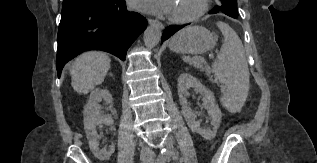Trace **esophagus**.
I'll list each match as a JSON object with an SVG mask.
<instances>
[{
    "mask_svg": "<svg viewBox=\"0 0 317 163\" xmlns=\"http://www.w3.org/2000/svg\"><path fill=\"white\" fill-rule=\"evenodd\" d=\"M148 23H149L150 25H153V26L158 27V28L161 29V30L164 29V25H163L160 21H158V20L149 19V20H148Z\"/></svg>",
    "mask_w": 317,
    "mask_h": 163,
    "instance_id": "obj_1",
    "label": "esophagus"
}]
</instances>
